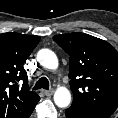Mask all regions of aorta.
Segmentation results:
<instances>
[{
  "mask_svg": "<svg viewBox=\"0 0 118 118\" xmlns=\"http://www.w3.org/2000/svg\"><path fill=\"white\" fill-rule=\"evenodd\" d=\"M37 60L44 68L54 70L58 67L56 54L49 49H41L37 54ZM54 102L60 108H66L71 103V94L66 87H58L54 93Z\"/></svg>",
  "mask_w": 118,
  "mask_h": 118,
  "instance_id": "obj_1",
  "label": "aorta"
}]
</instances>
